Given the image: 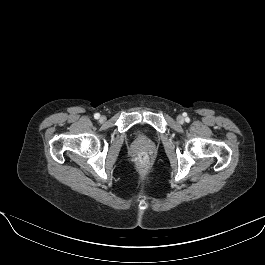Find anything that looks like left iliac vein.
<instances>
[{
  "label": "left iliac vein",
  "mask_w": 265,
  "mask_h": 265,
  "mask_svg": "<svg viewBox=\"0 0 265 265\" xmlns=\"http://www.w3.org/2000/svg\"><path fill=\"white\" fill-rule=\"evenodd\" d=\"M177 121L180 122V123H183L184 119H183V117L181 115H179L177 117Z\"/></svg>",
  "instance_id": "left-iliac-vein-1"
}]
</instances>
